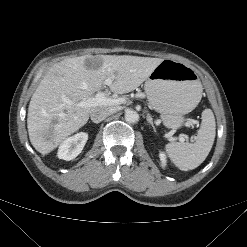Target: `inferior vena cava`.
I'll return each mask as SVG.
<instances>
[{"label": "inferior vena cava", "instance_id": "602c4592", "mask_svg": "<svg viewBox=\"0 0 247 247\" xmlns=\"http://www.w3.org/2000/svg\"><path fill=\"white\" fill-rule=\"evenodd\" d=\"M116 111H117L116 107H112L108 109H97L91 113L90 117L92 122L99 123L109 115L114 114Z\"/></svg>", "mask_w": 247, "mask_h": 247}]
</instances>
